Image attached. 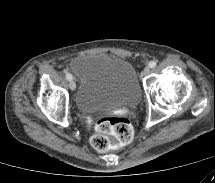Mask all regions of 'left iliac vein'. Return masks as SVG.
Masks as SVG:
<instances>
[{"instance_id":"left-iliac-vein-1","label":"left iliac vein","mask_w":215,"mask_h":183,"mask_svg":"<svg viewBox=\"0 0 215 183\" xmlns=\"http://www.w3.org/2000/svg\"><path fill=\"white\" fill-rule=\"evenodd\" d=\"M150 74V68L149 67H146L144 70H143V75L144 76H147Z\"/></svg>"}]
</instances>
